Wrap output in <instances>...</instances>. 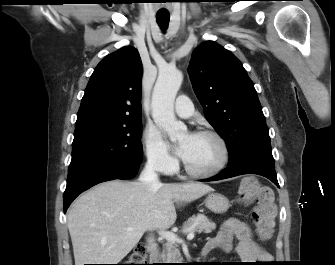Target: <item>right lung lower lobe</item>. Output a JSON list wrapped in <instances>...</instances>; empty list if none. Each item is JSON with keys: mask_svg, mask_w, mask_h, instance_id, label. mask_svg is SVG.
<instances>
[{"mask_svg": "<svg viewBox=\"0 0 335 265\" xmlns=\"http://www.w3.org/2000/svg\"><path fill=\"white\" fill-rule=\"evenodd\" d=\"M135 166H114V165H90L68 174L67 186L64 192V213L69 205L83 191L100 182L109 181L116 178H128L133 176L138 170Z\"/></svg>", "mask_w": 335, "mask_h": 265, "instance_id": "obj_1", "label": "right lung lower lobe"}]
</instances>
